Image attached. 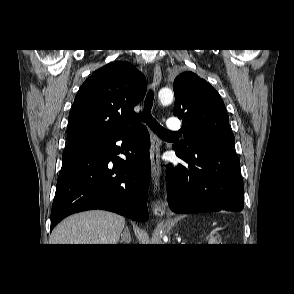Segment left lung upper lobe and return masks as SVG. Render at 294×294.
Masks as SVG:
<instances>
[{
    "instance_id": "obj_1",
    "label": "left lung upper lobe",
    "mask_w": 294,
    "mask_h": 294,
    "mask_svg": "<svg viewBox=\"0 0 294 294\" xmlns=\"http://www.w3.org/2000/svg\"><path fill=\"white\" fill-rule=\"evenodd\" d=\"M174 115L182 119L185 141L179 147L193 144L234 147L229 116L219 93L193 72L179 74L173 84Z\"/></svg>"
}]
</instances>
